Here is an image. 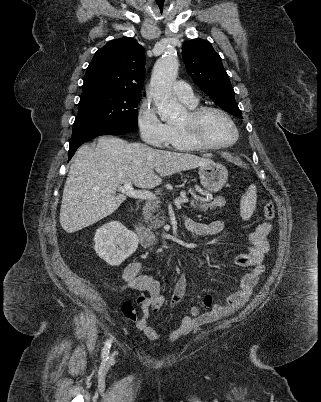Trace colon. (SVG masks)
<instances>
[{"label":"colon","mask_w":321,"mask_h":402,"mask_svg":"<svg viewBox=\"0 0 321 402\" xmlns=\"http://www.w3.org/2000/svg\"><path fill=\"white\" fill-rule=\"evenodd\" d=\"M263 212H264V216L266 219L272 220L274 218V205L271 201L265 202V204L263 206ZM143 300H144V298L140 297L139 301L142 302ZM205 305L207 306V305H209V303L206 302ZM122 313L129 319L136 318V313H135L134 307L129 302L123 303Z\"/></svg>","instance_id":"colon-1"}]
</instances>
